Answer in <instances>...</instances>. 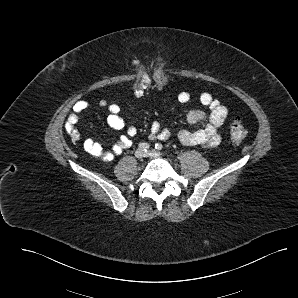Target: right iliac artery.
Wrapping results in <instances>:
<instances>
[{"label":"right iliac artery","mask_w":298,"mask_h":298,"mask_svg":"<svg viewBox=\"0 0 298 298\" xmlns=\"http://www.w3.org/2000/svg\"><path fill=\"white\" fill-rule=\"evenodd\" d=\"M139 148L146 152L149 150V144L148 143H140Z\"/></svg>","instance_id":"1"}]
</instances>
